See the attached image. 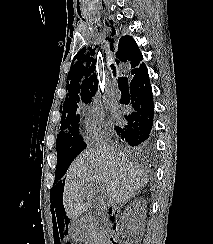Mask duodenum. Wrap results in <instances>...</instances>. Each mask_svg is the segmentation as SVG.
Here are the masks:
<instances>
[{
	"label": "duodenum",
	"mask_w": 213,
	"mask_h": 244,
	"mask_svg": "<svg viewBox=\"0 0 213 244\" xmlns=\"http://www.w3.org/2000/svg\"><path fill=\"white\" fill-rule=\"evenodd\" d=\"M107 220H110V218H108ZM116 230H117V228H116L115 223H112L111 224V233L108 235V242H107V244H115L114 239H115V236H116L115 235Z\"/></svg>",
	"instance_id": "duodenum-1"
}]
</instances>
